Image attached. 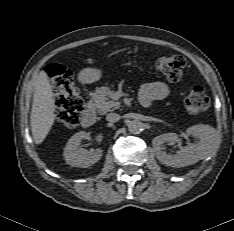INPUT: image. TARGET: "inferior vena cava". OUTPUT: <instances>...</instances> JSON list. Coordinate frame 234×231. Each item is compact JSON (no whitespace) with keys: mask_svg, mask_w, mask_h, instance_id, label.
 I'll use <instances>...</instances> for the list:
<instances>
[{"mask_svg":"<svg viewBox=\"0 0 234 231\" xmlns=\"http://www.w3.org/2000/svg\"><path fill=\"white\" fill-rule=\"evenodd\" d=\"M106 120L109 121V122H117L120 120V115L117 114V113H109L107 114L106 116Z\"/></svg>","mask_w":234,"mask_h":231,"instance_id":"602c4592","label":"inferior vena cava"}]
</instances>
